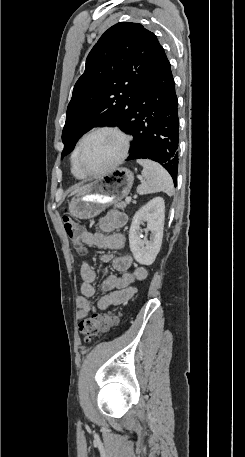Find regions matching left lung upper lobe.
Segmentation results:
<instances>
[{"label":"left lung upper lobe","mask_w":245,"mask_h":457,"mask_svg":"<svg viewBox=\"0 0 245 457\" xmlns=\"http://www.w3.org/2000/svg\"><path fill=\"white\" fill-rule=\"evenodd\" d=\"M160 47L155 34L138 23L119 22L101 36L73 89L62 132V157L91 128L110 121H119L121 127L129 121L143 98Z\"/></svg>","instance_id":"1"}]
</instances>
